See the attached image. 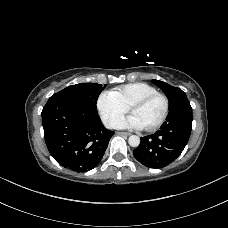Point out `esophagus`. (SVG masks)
I'll list each match as a JSON object with an SVG mask.
<instances>
[{"instance_id":"obj_1","label":"esophagus","mask_w":228,"mask_h":228,"mask_svg":"<svg viewBox=\"0 0 228 228\" xmlns=\"http://www.w3.org/2000/svg\"><path fill=\"white\" fill-rule=\"evenodd\" d=\"M118 135H122V136H130L131 134L128 132H117Z\"/></svg>"}]
</instances>
